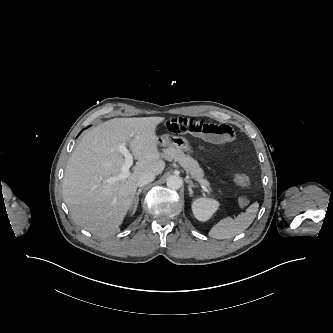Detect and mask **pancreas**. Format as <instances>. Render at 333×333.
Here are the masks:
<instances>
[{"mask_svg": "<svg viewBox=\"0 0 333 333\" xmlns=\"http://www.w3.org/2000/svg\"><path fill=\"white\" fill-rule=\"evenodd\" d=\"M162 156L168 161H178L179 164L186 170L187 173L192 176L194 180L198 181L207 189L211 190L209 181L204 178V172L202 168H200L199 163L192 157L185 155L183 151L175 147L164 149Z\"/></svg>", "mask_w": 333, "mask_h": 333, "instance_id": "cf45deb5", "label": "pancreas"}]
</instances>
